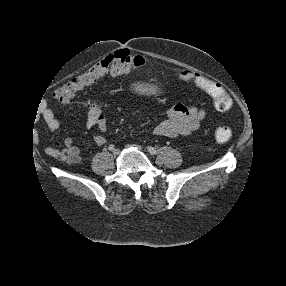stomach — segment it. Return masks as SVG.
I'll list each match as a JSON object with an SVG mask.
<instances>
[{
  "instance_id": "1",
  "label": "stomach",
  "mask_w": 286,
  "mask_h": 286,
  "mask_svg": "<svg viewBox=\"0 0 286 286\" xmlns=\"http://www.w3.org/2000/svg\"><path fill=\"white\" fill-rule=\"evenodd\" d=\"M127 94L133 100H145L150 104H161L167 98V87L161 81H150L145 77H133L127 83Z\"/></svg>"
}]
</instances>
